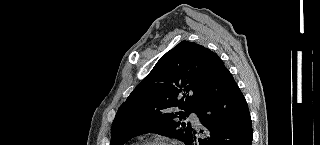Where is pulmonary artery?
Returning a JSON list of instances; mask_svg holds the SVG:
<instances>
[{"label": "pulmonary artery", "instance_id": "pulmonary-artery-1", "mask_svg": "<svg viewBox=\"0 0 320 145\" xmlns=\"http://www.w3.org/2000/svg\"><path fill=\"white\" fill-rule=\"evenodd\" d=\"M189 120L191 121V123L196 126L199 127L200 126V121L199 118L197 117V115L195 113H191L189 115Z\"/></svg>", "mask_w": 320, "mask_h": 145}]
</instances>
